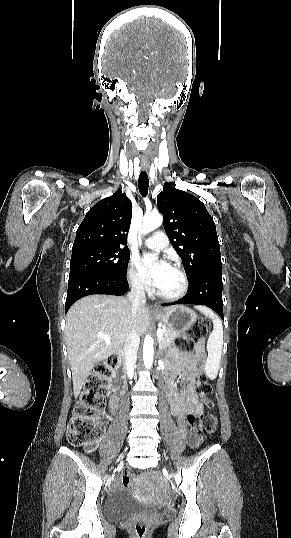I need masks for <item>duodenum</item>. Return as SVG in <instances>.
Segmentation results:
<instances>
[{"mask_svg":"<svg viewBox=\"0 0 291 538\" xmlns=\"http://www.w3.org/2000/svg\"><path fill=\"white\" fill-rule=\"evenodd\" d=\"M126 360H127V357L125 355L117 356L118 364L114 365V368H116L115 372L117 374H120L122 370L125 368L124 364ZM117 374H114L112 375V377H110L108 384L114 392L123 393L125 391V383L122 381V376L117 375Z\"/></svg>","mask_w":291,"mask_h":538,"instance_id":"obj_1","label":"duodenum"}]
</instances>
